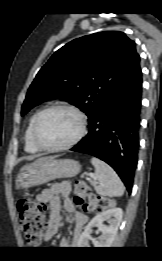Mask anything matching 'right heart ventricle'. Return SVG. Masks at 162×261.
<instances>
[{
  "mask_svg": "<svg viewBox=\"0 0 162 261\" xmlns=\"http://www.w3.org/2000/svg\"><path fill=\"white\" fill-rule=\"evenodd\" d=\"M38 113H35L29 120L28 126L26 128L25 134H24V142H25V150L28 153H38L40 151V149H38L35 144L33 143V139H32V129H33V124L35 121V118L37 116Z\"/></svg>",
  "mask_w": 162,
  "mask_h": 261,
  "instance_id": "1",
  "label": "right heart ventricle"
}]
</instances>
